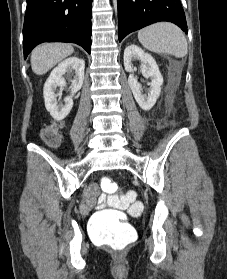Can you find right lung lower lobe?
I'll return each mask as SVG.
<instances>
[{
	"instance_id": "right-lung-lower-lobe-1",
	"label": "right lung lower lobe",
	"mask_w": 227,
	"mask_h": 279,
	"mask_svg": "<svg viewBox=\"0 0 227 279\" xmlns=\"http://www.w3.org/2000/svg\"><path fill=\"white\" fill-rule=\"evenodd\" d=\"M92 0H27L24 58L42 42H72L91 48Z\"/></svg>"
}]
</instances>
